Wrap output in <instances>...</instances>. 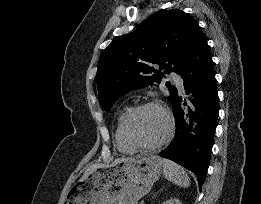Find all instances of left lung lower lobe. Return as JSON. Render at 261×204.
<instances>
[{"instance_id": "left-lung-lower-lobe-1", "label": "left lung lower lobe", "mask_w": 261, "mask_h": 204, "mask_svg": "<svg viewBox=\"0 0 261 204\" xmlns=\"http://www.w3.org/2000/svg\"><path fill=\"white\" fill-rule=\"evenodd\" d=\"M179 75L189 98L184 102L177 94L171 103L176 121L175 137L160 155L194 172L201 189L219 111L212 56L201 30L195 35Z\"/></svg>"}]
</instances>
